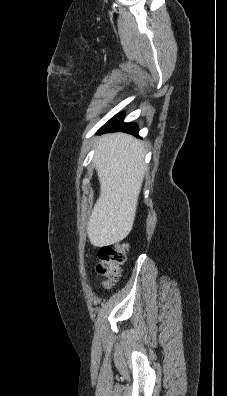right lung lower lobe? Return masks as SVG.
<instances>
[{
    "mask_svg": "<svg viewBox=\"0 0 227 396\" xmlns=\"http://www.w3.org/2000/svg\"><path fill=\"white\" fill-rule=\"evenodd\" d=\"M123 119H124L123 113L116 115L100 128L98 134L114 132V131H122L137 136L138 135L137 125L134 123H124Z\"/></svg>",
    "mask_w": 227,
    "mask_h": 396,
    "instance_id": "right-lung-lower-lobe-1",
    "label": "right lung lower lobe"
}]
</instances>
